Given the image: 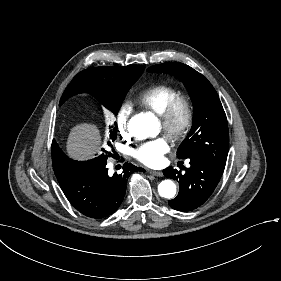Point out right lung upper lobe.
<instances>
[{
  "label": "right lung upper lobe",
  "mask_w": 281,
  "mask_h": 281,
  "mask_svg": "<svg viewBox=\"0 0 281 281\" xmlns=\"http://www.w3.org/2000/svg\"><path fill=\"white\" fill-rule=\"evenodd\" d=\"M143 65L102 66L81 71L65 89L60 104L78 93L94 97L127 93L144 71Z\"/></svg>",
  "instance_id": "right-lung-upper-lobe-1"
}]
</instances>
